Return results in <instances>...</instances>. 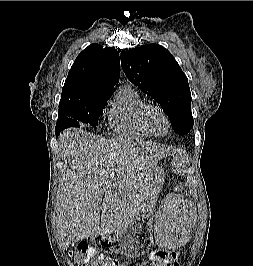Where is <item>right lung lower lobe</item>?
Instances as JSON below:
<instances>
[{
  "label": "right lung lower lobe",
  "mask_w": 253,
  "mask_h": 266,
  "mask_svg": "<svg viewBox=\"0 0 253 266\" xmlns=\"http://www.w3.org/2000/svg\"><path fill=\"white\" fill-rule=\"evenodd\" d=\"M61 131H62L61 129L56 128V134H57V136L59 135V133H60Z\"/></svg>",
  "instance_id": "98d812e1"
}]
</instances>
